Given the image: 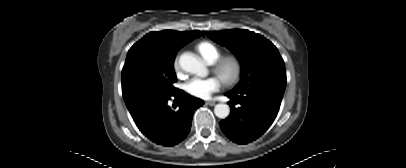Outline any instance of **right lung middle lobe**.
Returning <instances> with one entry per match:
<instances>
[{"label":"right lung middle lobe","instance_id":"obj_1","mask_svg":"<svg viewBox=\"0 0 406 168\" xmlns=\"http://www.w3.org/2000/svg\"><path fill=\"white\" fill-rule=\"evenodd\" d=\"M175 57H161L143 50L128 52L122 70V94L131 114L172 95L177 88Z\"/></svg>","mask_w":406,"mask_h":168}]
</instances>
